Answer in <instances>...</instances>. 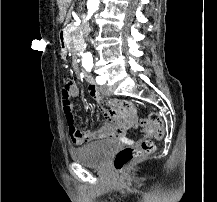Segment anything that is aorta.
Returning <instances> with one entry per match:
<instances>
[{"mask_svg": "<svg viewBox=\"0 0 217 202\" xmlns=\"http://www.w3.org/2000/svg\"><path fill=\"white\" fill-rule=\"evenodd\" d=\"M99 4L100 0H88V12H92V14H94V12H97V10H99ZM84 60H92V54H89V52H87V54H84Z\"/></svg>", "mask_w": 217, "mask_h": 202, "instance_id": "1", "label": "aorta"}]
</instances>
